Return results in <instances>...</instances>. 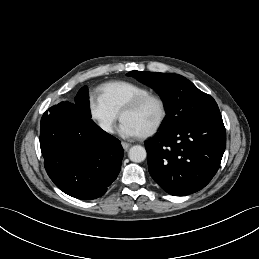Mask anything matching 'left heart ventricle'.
<instances>
[{
    "label": "left heart ventricle",
    "mask_w": 259,
    "mask_h": 259,
    "mask_svg": "<svg viewBox=\"0 0 259 259\" xmlns=\"http://www.w3.org/2000/svg\"><path fill=\"white\" fill-rule=\"evenodd\" d=\"M161 114L159 104L154 100H149L141 105L137 110L123 115L122 121L131 123L140 134L151 129L158 121Z\"/></svg>",
    "instance_id": "b2bd125f"
}]
</instances>
